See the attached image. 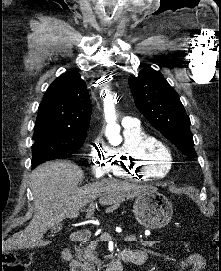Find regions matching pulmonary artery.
Wrapping results in <instances>:
<instances>
[{"mask_svg": "<svg viewBox=\"0 0 221 271\" xmlns=\"http://www.w3.org/2000/svg\"><path fill=\"white\" fill-rule=\"evenodd\" d=\"M127 122H121V127H142V122H134V117H127ZM138 128H126V133H121V138H138Z\"/></svg>", "mask_w": 221, "mask_h": 271, "instance_id": "e3ab8cb5", "label": "pulmonary artery"}]
</instances>
